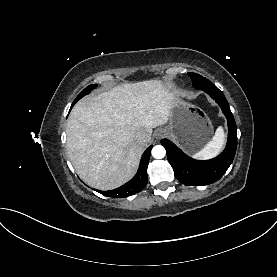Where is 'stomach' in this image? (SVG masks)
Listing matches in <instances>:
<instances>
[{"label": "stomach", "mask_w": 277, "mask_h": 277, "mask_svg": "<svg viewBox=\"0 0 277 277\" xmlns=\"http://www.w3.org/2000/svg\"><path fill=\"white\" fill-rule=\"evenodd\" d=\"M166 132L186 152L193 154L211 140L213 127L201 108L177 97L170 108Z\"/></svg>", "instance_id": "0dacf381"}]
</instances>
